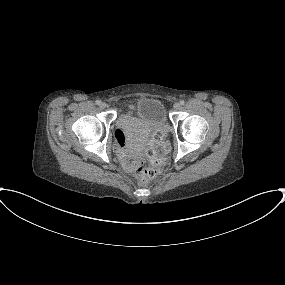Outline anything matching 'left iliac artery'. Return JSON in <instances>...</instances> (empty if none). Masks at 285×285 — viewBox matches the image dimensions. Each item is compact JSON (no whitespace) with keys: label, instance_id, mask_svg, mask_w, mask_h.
I'll return each instance as SVG.
<instances>
[{"label":"left iliac artery","instance_id":"44dca946","mask_svg":"<svg viewBox=\"0 0 285 285\" xmlns=\"http://www.w3.org/2000/svg\"><path fill=\"white\" fill-rule=\"evenodd\" d=\"M184 103H185V102H184L183 100L180 101V104H181V105H184Z\"/></svg>","mask_w":285,"mask_h":285}]
</instances>
